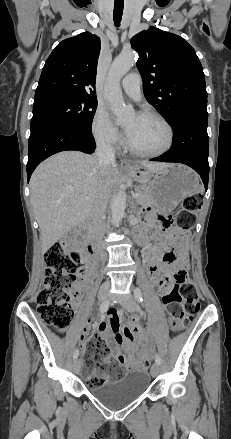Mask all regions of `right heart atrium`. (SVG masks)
<instances>
[{
    "mask_svg": "<svg viewBox=\"0 0 231 439\" xmlns=\"http://www.w3.org/2000/svg\"><path fill=\"white\" fill-rule=\"evenodd\" d=\"M91 131L96 143L102 147L115 149L121 142L120 132L104 108L98 107L96 109Z\"/></svg>",
    "mask_w": 231,
    "mask_h": 439,
    "instance_id": "right-heart-atrium-1",
    "label": "right heart atrium"
}]
</instances>
